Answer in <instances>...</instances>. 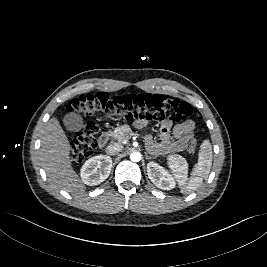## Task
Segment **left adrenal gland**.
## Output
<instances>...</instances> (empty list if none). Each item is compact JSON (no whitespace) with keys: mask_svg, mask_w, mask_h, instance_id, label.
<instances>
[{"mask_svg":"<svg viewBox=\"0 0 267 267\" xmlns=\"http://www.w3.org/2000/svg\"><path fill=\"white\" fill-rule=\"evenodd\" d=\"M153 157L149 156L148 154H146V159H151Z\"/></svg>","mask_w":267,"mask_h":267,"instance_id":"obj_1","label":"left adrenal gland"}]
</instances>
